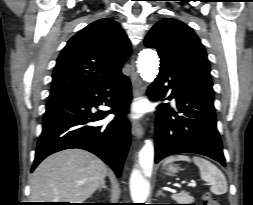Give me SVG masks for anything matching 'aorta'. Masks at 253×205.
<instances>
[{"label": "aorta", "mask_w": 253, "mask_h": 205, "mask_svg": "<svg viewBox=\"0 0 253 205\" xmlns=\"http://www.w3.org/2000/svg\"><path fill=\"white\" fill-rule=\"evenodd\" d=\"M137 68L138 73L145 82H153L159 69V58L156 51L150 48L143 49L138 57ZM143 152L151 160L153 159V145L150 140L146 141ZM149 191V181L142 175L140 169L135 168L130 178V194L133 202L144 203L148 198Z\"/></svg>", "instance_id": "obj_1"}]
</instances>
